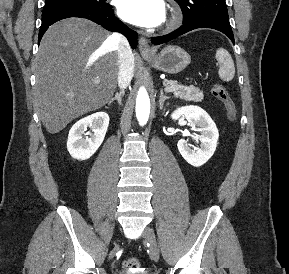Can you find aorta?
I'll use <instances>...</instances> for the list:
<instances>
[{"label":"aorta","mask_w":289,"mask_h":274,"mask_svg":"<svg viewBox=\"0 0 289 274\" xmlns=\"http://www.w3.org/2000/svg\"><path fill=\"white\" fill-rule=\"evenodd\" d=\"M150 114V99L147 90L141 87L136 98V117L141 126H144Z\"/></svg>","instance_id":"aorta-1"}]
</instances>
